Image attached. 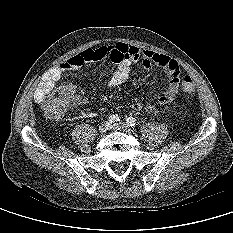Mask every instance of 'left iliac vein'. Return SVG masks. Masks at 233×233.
<instances>
[{"mask_svg":"<svg viewBox=\"0 0 233 233\" xmlns=\"http://www.w3.org/2000/svg\"><path fill=\"white\" fill-rule=\"evenodd\" d=\"M110 128L113 130H116V131H125V132L130 131L129 127L125 124H122V123L111 124Z\"/></svg>","mask_w":233,"mask_h":233,"instance_id":"obj_1","label":"left iliac vein"}]
</instances>
